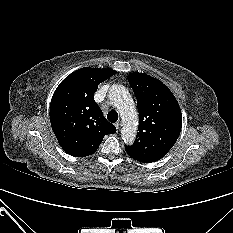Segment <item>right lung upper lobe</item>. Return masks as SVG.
<instances>
[{
    "label": "right lung upper lobe",
    "mask_w": 233,
    "mask_h": 233,
    "mask_svg": "<svg viewBox=\"0 0 233 233\" xmlns=\"http://www.w3.org/2000/svg\"><path fill=\"white\" fill-rule=\"evenodd\" d=\"M115 73L112 69L81 68L68 75L55 90L50 122L60 146L69 155H92L105 135L116 132L94 101L98 85Z\"/></svg>",
    "instance_id": "obj_1"
}]
</instances>
